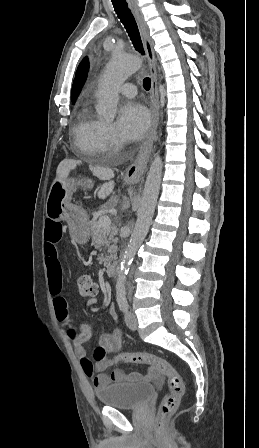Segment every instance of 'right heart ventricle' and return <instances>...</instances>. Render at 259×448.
<instances>
[{
    "instance_id": "1",
    "label": "right heart ventricle",
    "mask_w": 259,
    "mask_h": 448,
    "mask_svg": "<svg viewBox=\"0 0 259 448\" xmlns=\"http://www.w3.org/2000/svg\"><path fill=\"white\" fill-rule=\"evenodd\" d=\"M103 121L98 118L89 101L78 107L74 123V135L77 145L86 150L77 156H83V163H102L104 156L99 151V134Z\"/></svg>"
}]
</instances>
